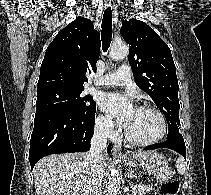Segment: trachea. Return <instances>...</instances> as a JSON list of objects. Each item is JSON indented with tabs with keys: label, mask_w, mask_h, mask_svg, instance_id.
<instances>
[{
	"label": "trachea",
	"mask_w": 211,
	"mask_h": 195,
	"mask_svg": "<svg viewBox=\"0 0 211 195\" xmlns=\"http://www.w3.org/2000/svg\"><path fill=\"white\" fill-rule=\"evenodd\" d=\"M102 49L104 52H107L110 47L112 39V10L111 7H107L104 11L102 19Z\"/></svg>",
	"instance_id": "1"
}]
</instances>
